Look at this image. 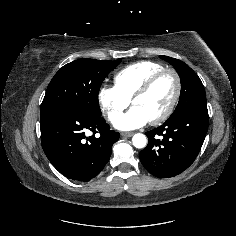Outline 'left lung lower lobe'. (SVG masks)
Returning a JSON list of instances; mask_svg holds the SVG:
<instances>
[{"label": "left lung lower lobe", "mask_w": 236, "mask_h": 236, "mask_svg": "<svg viewBox=\"0 0 236 236\" xmlns=\"http://www.w3.org/2000/svg\"><path fill=\"white\" fill-rule=\"evenodd\" d=\"M208 123L206 103L193 105L169 118L163 125L145 133L148 145L139 154L141 163L159 178L180 174L200 152Z\"/></svg>", "instance_id": "left-lung-lower-lobe-1"}]
</instances>
